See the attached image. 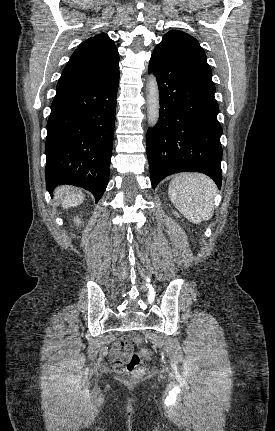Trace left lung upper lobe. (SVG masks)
<instances>
[{"label": "left lung upper lobe", "mask_w": 275, "mask_h": 431, "mask_svg": "<svg viewBox=\"0 0 275 431\" xmlns=\"http://www.w3.org/2000/svg\"><path fill=\"white\" fill-rule=\"evenodd\" d=\"M156 47L170 54L189 69L209 92L215 93L211 68L206 61L204 50L194 37L182 31L171 30Z\"/></svg>", "instance_id": "5c2ea615"}]
</instances>
